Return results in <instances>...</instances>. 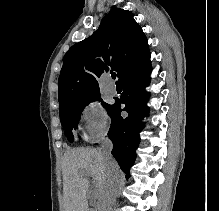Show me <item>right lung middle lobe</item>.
I'll return each mask as SVG.
<instances>
[{
  "instance_id": "dd1d6c3e",
  "label": "right lung middle lobe",
  "mask_w": 219,
  "mask_h": 211,
  "mask_svg": "<svg viewBox=\"0 0 219 211\" xmlns=\"http://www.w3.org/2000/svg\"><path fill=\"white\" fill-rule=\"evenodd\" d=\"M93 101H102L100 94L59 106L60 121L70 142H72L74 139L71 131L72 129L78 128V123L83 109L86 105ZM102 105L107 109L108 112L112 107V105L106 104L104 102Z\"/></svg>"
}]
</instances>
